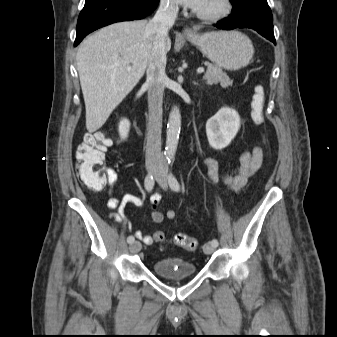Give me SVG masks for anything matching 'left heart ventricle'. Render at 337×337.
<instances>
[{
  "mask_svg": "<svg viewBox=\"0 0 337 337\" xmlns=\"http://www.w3.org/2000/svg\"><path fill=\"white\" fill-rule=\"evenodd\" d=\"M218 0H205L203 6L197 10L200 12H211L218 8Z\"/></svg>",
  "mask_w": 337,
  "mask_h": 337,
  "instance_id": "left-heart-ventricle-1",
  "label": "left heart ventricle"
}]
</instances>
